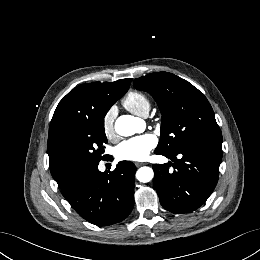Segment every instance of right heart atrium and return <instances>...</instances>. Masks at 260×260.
I'll return each mask as SVG.
<instances>
[{"mask_svg": "<svg viewBox=\"0 0 260 260\" xmlns=\"http://www.w3.org/2000/svg\"><path fill=\"white\" fill-rule=\"evenodd\" d=\"M116 118V108L112 106L109 108L103 116V130L107 137H112L115 133L114 131V121Z\"/></svg>", "mask_w": 260, "mask_h": 260, "instance_id": "obj_1", "label": "right heart atrium"}]
</instances>
